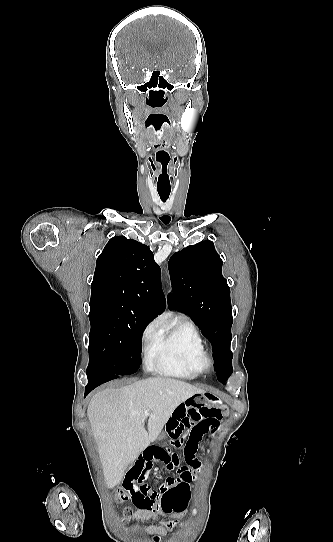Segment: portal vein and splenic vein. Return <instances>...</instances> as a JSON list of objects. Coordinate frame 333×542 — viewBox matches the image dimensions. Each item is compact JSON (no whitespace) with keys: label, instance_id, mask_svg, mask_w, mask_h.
Instances as JSON below:
<instances>
[{"label":"portal vein and splenic vein","instance_id":"portal-vein-and-splenic-vein-1","mask_svg":"<svg viewBox=\"0 0 333 542\" xmlns=\"http://www.w3.org/2000/svg\"><path fill=\"white\" fill-rule=\"evenodd\" d=\"M144 414H146V416H148V412H147V410H146V412H144Z\"/></svg>","mask_w":333,"mask_h":542}]
</instances>
